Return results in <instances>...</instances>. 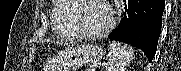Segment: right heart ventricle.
Segmentation results:
<instances>
[{
    "label": "right heart ventricle",
    "mask_w": 181,
    "mask_h": 71,
    "mask_svg": "<svg viewBox=\"0 0 181 71\" xmlns=\"http://www.w3.org/2000/svg\"><path fill=\"white\" fill-rule=\"evenodd\" d=\"M72 12L71 3L57 0L53 8V31L64 39L78 38L71 28L70 15Z\"/></svg>",
    "instance_id": "1"
}]
</instances>
